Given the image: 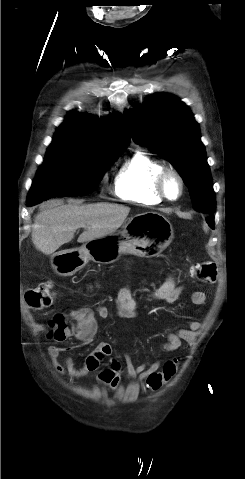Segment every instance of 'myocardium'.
I'll list each match as a JSON object with an SVG mask.
<instances>
[{
  "label": "myocardium",
  "instance_id": "myocardium-1",
  "mask_svg": "<svg viewBox=\"0 0 245 479\" xmlns=\"http://www.w3.org/2000/svg\"><path fill=\"white\" fill-rule=\"evenodd\" d=\"M175 179L179 184V193L176 197L172 198L167 193V183L170 179ZM156 190L159 196L168 202H176L184 194L185 191V182L182 175L175 169L165 168L156 179Z\"/></svg>",
  "mask_w": 245,
  "mask_h": 479
}]
</instances>
